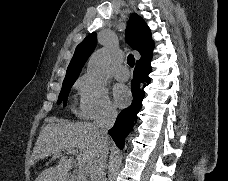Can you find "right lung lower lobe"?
Here are the masks:
<instances>
[{
	"mask_svg": "<svg viewBox=\"0 0 228 181\" xmlns=\"http://www.w3.org/2000/svg\"><path fill=\"white\" fill-rule=\"evenodd\" d=\"M151 59L152 54L145 59L137 61L131 81L133 102L128 108L120 112L114 126L108 131L119 148L124 146L125 138L132 130L137 119V113L141 110L142 100L145 96L143 88L149 84L148 74L151 72Z\"/></svg>",
	"mask_w": 228,
	"mask_h": 181,
	"instance_id": "1",
	"label": "right lung lower lobe"
}]
</instances>
